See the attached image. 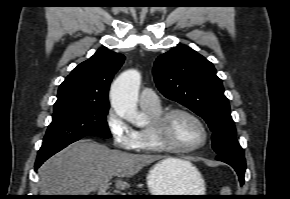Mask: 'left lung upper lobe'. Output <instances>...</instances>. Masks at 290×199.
Listing matches in <instances>:
<instances>
[{"instance_id": "5c2ea615", "label": "left lung upper lobe", "mask_w": 290, "mask_h": 199, "mask_svg": "<svg viewBox=\"0 0 290 199\" xmlns=\"http://www.w3.org/2000/svg\"><path fill=\"white\" fill-rule=\"evenodd\" d=\"M160 92L201 116L209 125L218 155L244 154L236 139L229 102L213 64L193 49L179 45L160 55L153 69Z\"/></svg>"}]
</instances>
